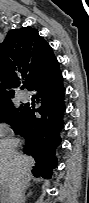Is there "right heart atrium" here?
I'll return each mask as SVG.
<instances>
[{
    "label": "right heart atrium",
    "mask_w": 89,
    "mask_h": 203,
    "mask_svg": "<svg viewBox=\"0 0 89 203\" xmlns=\"http://www.w3.org/2000/svg\"><path fill=\"white\" fill-rule=\"evenodd\" d=\"M9 134H10V129H9L8 125L1 124V126H0V136L6 137Z\"/></svg>",
    "instance_id": "1"
}]
</instances>
